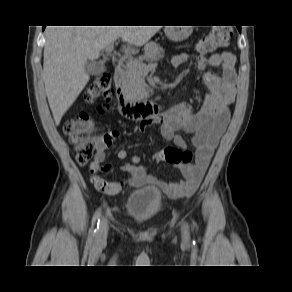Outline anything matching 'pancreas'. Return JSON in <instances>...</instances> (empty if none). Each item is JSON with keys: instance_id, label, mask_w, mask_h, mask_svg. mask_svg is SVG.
Listing matches in <instances>:
<instances>
[{"instance_id": "pancreas-1", "label": "pancreas", "mask_w": 292, "mask_h": 292, "mask_svg": "<svg viewBox=\"0 0 292 292\" xmlns=\"http://www.w3.org/2000/svg\"><path fill=\"white\" fill-rule=\"evenodd\" d=\"M145 58L156 61L164 55V50L155 42H150L144 47ZM144 65L142 59H136L128 63L121 72L119 80L124 95L129 99L140 97L144 86V71L140 66Z\"/></svg>"}]
</instances>
